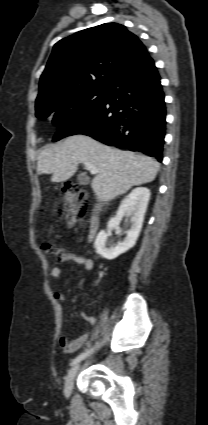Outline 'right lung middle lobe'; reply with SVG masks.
Instances as JSON below:
<instances>
[{"label": "right lung middle lobe", "instance_id": "right-lung-middle-lobe-1", "mask_svg": "<svg viewBox=\"0 0 208 425\" xmlns=\"http://www.w3.org/2000/svg\"><path fill=\"white\" fill-rule=\"evenodd\" d=\"M106 95L103 89H82L58 97H49L36 102V117L51 118L60 124L67 118L76 116L100 104Z\"/></svg>", "mask_w": 208, "mask_h": 425}]
</instances>
